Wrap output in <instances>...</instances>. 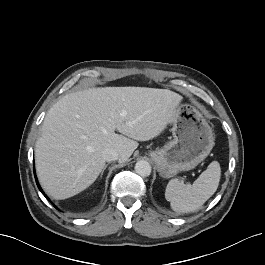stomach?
Listing matches in <instances>:
<instances>
[{
  "label": "stomach",
  "instance_id": "obj_1",
  "mask_svg": "<svg viewBox=\"0 0 265 265\" xmlns=\"http://www.w3.org/2000/svg\"><path fill=\"white\" fill-rule=\"evenodd\" d=\"M173 139L150 156L162 177L194 169L214 147V133L203 115L190 104H180L171 122Z\"/></svg>",
  "mask_w": 265,
  "mask_h": 265
}]
</instances>
